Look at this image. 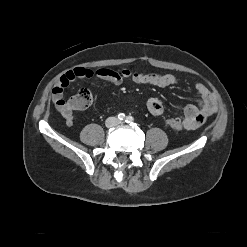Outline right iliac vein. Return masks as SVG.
<instances>
[{
  "label": "right iliac vein",
  "mask_w": 247,
  "mask_h": 247,
  "mask_svg": "<svg viewBox=\"0 0 247 247\" xmlns=\"http://www.w3.org/2000/svg\"><path fill=\"white\" fill-rule=\"evenodd\" d=\"M115 124V120L113 118H110L106 121L107 127H112Z\"/></svg>",
  "instance_id": "obj_1"
}]
</instances>
